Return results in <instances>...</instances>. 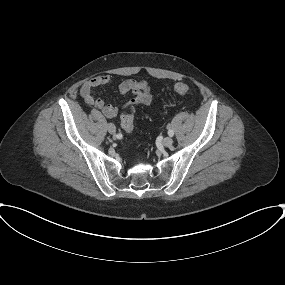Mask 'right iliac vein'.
Here are the masks:
<instances>
[{
  "label": "right iliac vein",
  "instance_id": "obj_1",
  "mask_svg": "<svg viewBox=\"0 0 285 285\" xmlns=\"http://www.w3.org/2000/svg\"><path fill=\"white\" fill-rule=\"evenodd\" d=\"M107 130H108V132H109L110 134L114 135L115 132H116V127H115L114 124L108 123V124H107Z\"/></svg>",
  "mask_w": 285,
  "mask_h": 285
}]
</instances>
